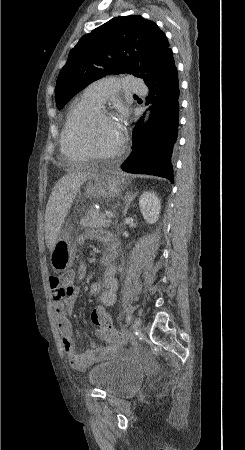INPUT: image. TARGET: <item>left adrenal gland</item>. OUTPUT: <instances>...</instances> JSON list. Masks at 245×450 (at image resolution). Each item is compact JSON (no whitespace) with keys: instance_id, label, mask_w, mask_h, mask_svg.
Segmentation results:
<instances>
[{"instance_id":"a2214340","label":"left adrenal gland","mask_w":245,"mask_h":450,"mask_svg":"<svg viewBox=\"0 0 245 450\" xmlns=\"http://www.w3.org/2000/svg\"><path fill=\"white\" fill-rule=\"evenodd\" d=\"M137 196V193H133V192H128L124 198V211L123 214L124 216H126L129 205L131 204V202L135 199V197Z\"/></svg>"}]
</instances>
